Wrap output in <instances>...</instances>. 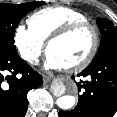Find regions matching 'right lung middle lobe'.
I'll return each instance as SVG.
<instances>
[{
  "mask_svg": "<svg viewBox=\"0 0 117 117\" xmlns=\"http://www.w3.org/2000/svg\"><path fill=\"white\" fill-rule=\"evenodd\" d=\"M44 2L23 4L0 3V52L17 53L14 45L15 29L21 18Z\"/></svg>",
  "mask_w": 117,
  "mask_h": 117,
  "instance_id": "right-lung-middle-lobe-1",
  "label": "right lung middle lobe"
}]
</instances>
